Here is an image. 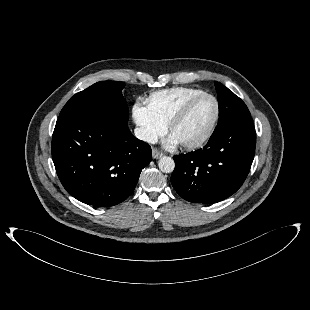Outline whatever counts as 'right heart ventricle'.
<instances>
[{
	"instance_id": "right-heart-ventricle-1",
	"label": "right heart ventricle",
	"mask_w": 310,
	"mask_h": 310,
	"mask_svg": "<svg viewBox=\"0 0 310 310\" xmlns=\"http://www.w3.org/2000/svg\"><path fill=\"white\" fill-rule=\"evenodd\" d=\"M204 91L189 87H174L150 94L147 105L152 113L168 124L179 108L189 99Z\"/></svg>"
}]
</instances>
